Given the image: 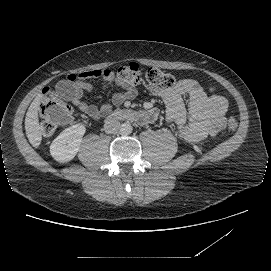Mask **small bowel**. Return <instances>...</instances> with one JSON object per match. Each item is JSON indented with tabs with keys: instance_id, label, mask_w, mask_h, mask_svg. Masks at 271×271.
<instances>
[{
	"instance_id": "small-bowel-1",
	"label": "small bowel",
	"mask_w": 271,
	"mask_h": 271,
	"mask_svg": "<svg viewBox=\"0 0 271 271\" xmlns=\"http://www.w3.org/2000/svg\"><path fill=\"white\" fill-rule=\"evenodd\" d=\"M95 78L103 79L104 89L112 86L121 88V91L114 93L111 100L100 108L82 101L84 92L93 89L88 80ZM69 79L74 87L72 103L94 120L107 116L113 106H120L137 95L134 85L122 81L109 69L84 71L78 75H71ZM184 97L188 98V109L185 108ZM162 98L166 107V122L175 126L180 139L189 142L199 141L209 136H216L225 127L227 100L216 94L213 89L209 94L206 93L193 79L179 80L174 87L163 93ZM142 116L145 122H152L157 120L158 111L151 109L144 112Z\"/></svg>"
}]
</instances>
